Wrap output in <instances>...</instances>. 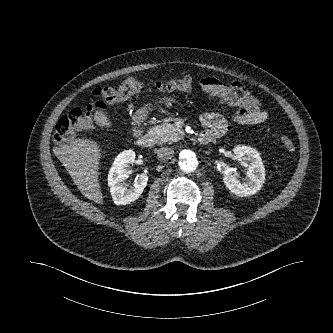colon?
<instances>
[{"instance_id":"5ec220e1","label":"colon","mask_w":333,"mask_h":333,"mask_svg":"<svg viewBox=\"0 0 333 333\" xmlns=\"http://www.w3.org/2000/svg\"><path fill=\"white\" fill-rule=\"evenodd\" d=\"M192 84V79L189 76L154 83H145L138 78L130 77L117 87H98L93 91L94 98L89 100L84 108L73 109L57 122L53 140L57 145L68 143L74 137L76 131L97 126L98 115L105 111L108 104L129 100L149 85H153L162 91L172 92L189 90ZM280 143L286 152H295V144L289 136L283 135L280 138Z\"/></svg>"}]
</instances>
